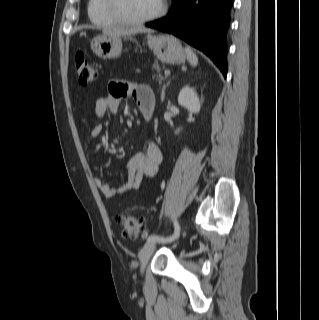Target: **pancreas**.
Wrapping results in <instances>:
<instances>
[{
	"label": "pancreas",
	"instance_id": "pancreas-1",
	"mask_svg": "<svg viewBox=\"0 0 319 320\" xmlns=\"http://www.w3.org/2000/svg\"><path fill=\"white\" fill-rule=\"evenodd\" d=\"M153 70L156 71L158 77H161V73H160L161 72V68H160V66H159L157 61L153 65Z\"/></svg>",
	"mask_w": 319,
	"mask_h": 320
}]
</instances>
